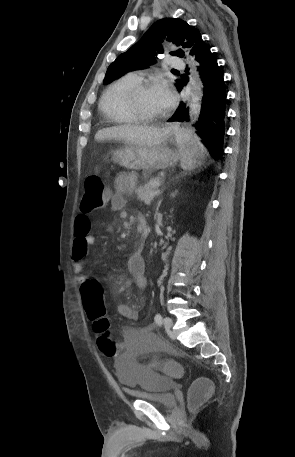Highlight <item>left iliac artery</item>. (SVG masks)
<instances>
[{
  "label": "left iliac artery",
  "instance_id": "44dca946",
  "mask_svg": "<svg viewBox=\"0 0 295 457\" xmlns=\"http://www.w3.org/2000/svg\"><path fill=\"white\" fill-rule=\"evenodd\" d=\"M154 320H155V323L157 325H159V326L162 325V316H161V314H159V313L156 314Z\"/></svg>",
  "mask_w": 295,
  "mask_h": 457
}]
</instances>
